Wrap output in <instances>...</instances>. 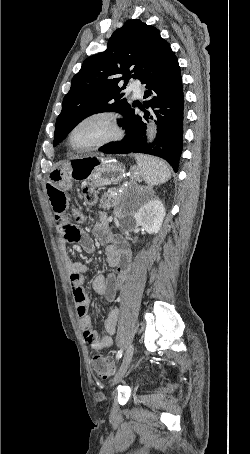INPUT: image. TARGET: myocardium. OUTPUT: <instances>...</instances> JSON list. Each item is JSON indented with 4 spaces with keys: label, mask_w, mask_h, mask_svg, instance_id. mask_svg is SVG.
<instances>
[{
    "label": "myocardium",
    "mask_w": 250,
    "mask_h": 454,
    "mask_svg": "<svg viewBox=\"0 0 250 454\" xmlns=\"http://www.w3.org/2000/svg\"><path fill=\"white\" fill-rule=\"evenodd\" d=\"M94 121H104L109 129L108 134L103 137L102 139L84 146V147H77L73 144V136L75 132L81 128L82 126L92 123ZM122 137V129L119 125L118 118L117 116L110 111H97L90 113L83 118H81L79 121H77L72 128L70 129L68 136H67V144L72 149L73 151L77 153H88L92 152L98 149H101L117 140H119Z\"/></svg>",
    "instance_id": "myocardium-1"
}]
</instances>
